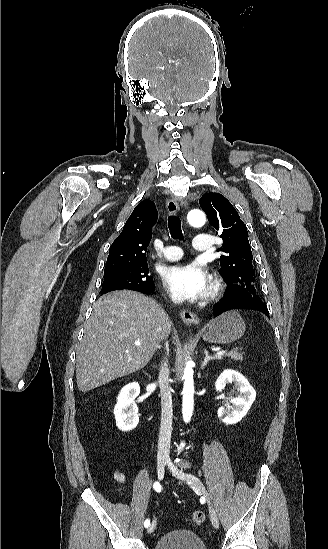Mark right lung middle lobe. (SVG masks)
Segmentation results:
<instances>
[{
    "instance_id": "right-lung-middle-lobe-1",
    "label": "right lung middle lobe",
    "mask_w": 328,
    "mask_h": 549,
    "mask_svg": "<svg viewBox=\"0 0 328 549\" xmlns=\"http://www.w3.org/2000/svg\"><path fill=\"white\" fill-rule=\"evenodd\" d=\"M147 263L104 271L101 295L120 289L145 292L154 288Z\"/></svg>"
}]
</instances>
